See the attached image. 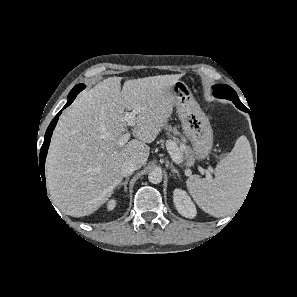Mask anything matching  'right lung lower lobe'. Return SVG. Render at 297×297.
Here are the masks:
<instances>
[{
  "mask_svg": "<svg viewBox=\"0 0 297 297\" xmlns=\"http://www.w3.org/2000/svg\"><path fill=\"white\" fill-rule=\"evenodd\" d=\"M74 99H73V97L70 98L68 100V102L66 103V105L64 106V108L69 106ZM60 114H61V111L55 116V118L51 121L49 127L47 128L46 133H45V137H44V143H43V145L41 147V150H40V160H39V166L38 167L40 169V173H41L42 182H43L44 187H45V174H44L45 158H46L48 147H49V144H50V138L52 136L53 130H54L55 126H56V123L58 121V117H59ZM45 190H46V187H45Z\"/></svg>",
  "mask_w": 297,
  "mask_h": 297,
  "instance_id": "obj_1",
  "label": "right lung lower lobe"
}]
</instances>
